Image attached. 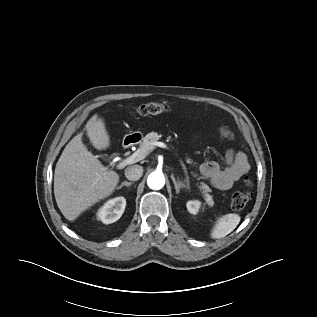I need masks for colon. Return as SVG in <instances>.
<instances>
[{
  "instance_id": "obj_1",
  "label": "colon",
  "mask_w": 317,
  "mask_h": 317,
  "mask_svg": "<svg viewBox=\"0 0 317 317\" xmlns=\"http://www.w3.org/2000/svg\"><path fill=\"white\" fill-rule=\"evenodd\" d=\"M167 110V106L161 102H150L142 104L137 108V113L140 116H153L164 113ZM220 134L225 139H232V133L226 128H220ZM245 184L247 189H240L233 193L231 198V207L234 210H242L251 199V192L249 190L251 181L249 178H245Z\"/></svg>"
}]
</instances>
